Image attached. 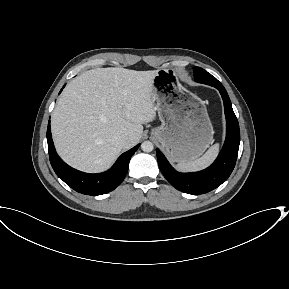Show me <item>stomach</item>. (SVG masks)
<instances>
[{
  "label": "stomach",
  "instance_id": "1",
  "mask_svg": "<svg viewBox=\"0 0 289 289\" xmlns=\"http://www.w3.org/2000/svg\"><path fill=\"white\" fill-rule=\"evenodd\" d=\"M152 97L161 125L151 131L173 162L201 156L213 141V126L204 101L187 90L172 69L153 78Z\"/></svg>",
  "mask_w": 289,
  "mask_h": 289
}]
</instances>
